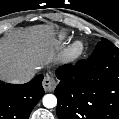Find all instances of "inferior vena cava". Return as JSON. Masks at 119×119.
<instances>
[{"label":"inferior vena cava","instance_id":"inferior-vena-cava-1","mask_svg":"<svg viewBox=\"0 0 119 119\" xmlns=\"http://www.w3.org/2000/svg\"><path fill=\"white\" fill-rule=\"evenodd\" d=\"M34 77V72H24L10 78L9 82L13 84H23L29 82Z\"/></svg>","mask_w":119,"mask_h":119}]
</instances>
